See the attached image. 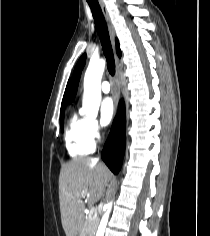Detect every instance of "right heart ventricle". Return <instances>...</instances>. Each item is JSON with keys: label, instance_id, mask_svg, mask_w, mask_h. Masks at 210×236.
Masks as SVG:
<instances>
[{"label": "right heart ventricle", "instance_id": "right-heart-ventricle-1", "mask_svg": "<svg viewBox=\"0 0 210 236\" xmlns=\"http://www.w3.org/2000/svg\"><path fill=\"white\" fill-rule=\"evenodd\" d=\"M88 119L72 111L64 131V142L72 158L86 156L94 151V141L88 133Z\"/></svg>", "mask_w": 210, "mask_h": 236}]
</instances>
